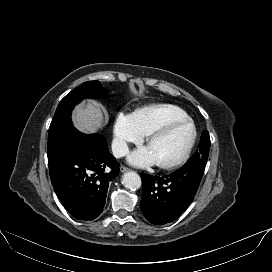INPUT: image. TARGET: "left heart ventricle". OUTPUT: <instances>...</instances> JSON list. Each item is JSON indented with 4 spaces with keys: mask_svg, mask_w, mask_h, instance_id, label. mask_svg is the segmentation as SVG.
<instances>
[{
    "mask_svg": "<svg viewBox=\"0 0 272 272\" xmlns=\"http://www.w3.org/2000/svg\"><path fill=\"white\" fill-rule=\"evenodd\" d=\"M192 136L190 126L181 124L152 140L148 148L157 163H168L180 157L187 148Z\"/></svg>",
    "mask_w": 272,
    "mask_h": 272,
    "instance_id": "obj_1",
    "label": "left heart ventricle"
}]
</instances>
